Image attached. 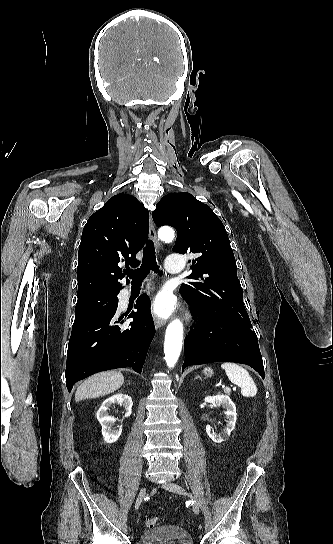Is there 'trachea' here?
I'll return each instance as SVG.
<instances>
[{
  "instance_id": "3493384b",
  "label": "trachea",
  "mask_w": 333,
  "mask_h": 544,
  "mask_svg": "<svg viewBox=\"0 0 333 544\" xmlns=\"http://www.w3.org/2000/svg\"><path fill=\"white\" fill-rule=\"evenodd\" d=\"M151 270L155 273H160L156 262L154 243L148 241L143 250V261L141 266L135 270L128 269L126 274L132 279V282L137 283L142 282Z\"/></svg>"
}]
</instances>
